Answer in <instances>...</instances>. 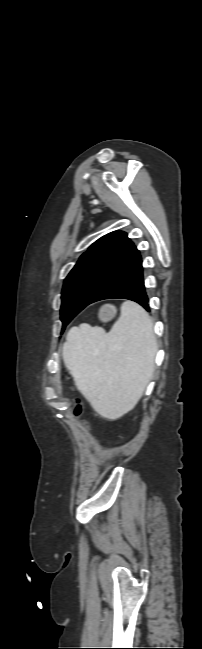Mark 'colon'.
Segmentation results:
<instances>
[{
  "label": "colon",
  "mask_w": 202,
  "mask_h": 649,
  "mask_svg": "<svg viewBox=\"0 0 202 649\" xmlns=\"http://www.w3.org/2000/svg\"><path fill=\"white\" fill-rule=\"evenodd\" d=\"M73 415L79 419L80 425L83 429H88V423L87 421L81 419L82 415V404L79 399L74 400L73 404V409H72Z\"/></svg>",
  "instance_id": "colon-1"
}]
</instances>
